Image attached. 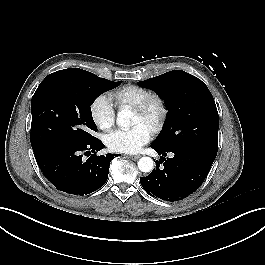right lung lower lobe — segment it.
<instances>
[{
    "label": "right lung lower lobe",
    "instance_id": "right-lung-lower-lobe-1",
    "mask_svg": "<svg viewBox=\"0 0 265 265\" xmlns=\"http://www.w3.org/2000/svg\"><path fill=\"white\" fill-rule=\"evenodd\" d=\"M103 148L104 144L96 139L85 145L51 146L33 152L44 176L58 190L83 196L102 187L108 179L110 162L118 154L96 156L95 152ZM83 154L89 158L85 160Z\"/></svg>",
    "mask_w": 265,
    "mask_h": 265
}]
</instances>
